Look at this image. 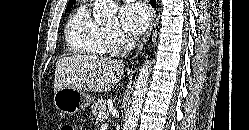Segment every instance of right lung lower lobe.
Instances as JSON below:
<instances>
[{"label":"right lung lower lobe","mask_w":249,"mask_h":130,"mask_svg":"<svg viewBox=\"0 0 249 130\" xmlns=\"http://www.w3.org/2000/svg\"><path fill=\"white\" fill-rule=\"evenodd\" d=\"M151 5L155 8L156 7V0H150Z\"/></svg>","instance_id":"right-lung-lower-lobe-1"}]
</instances>
